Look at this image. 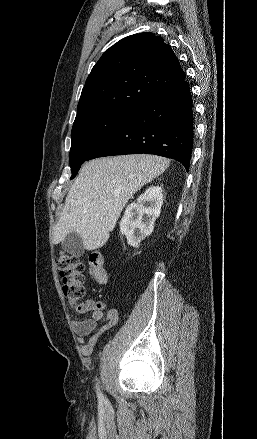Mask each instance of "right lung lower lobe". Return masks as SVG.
<instances>
[{
    "label": "right lung lower lobe",
    "instance_id": "98d812e1",
    "mask_svg": "<svg viewBox=\"0 0 257 439\" xmlns=\"http://www.w3.org/2000/svg\"><path fill=\"white\" fill-rule=\"evenodd\" d=\"M193 120L191 92L184 79L128 115L87 160L147 153L175 159L188 171L193 146Z\"/></svg>",
    "mask_w": 257,
    "mask_h": 439
}]
</instances>
